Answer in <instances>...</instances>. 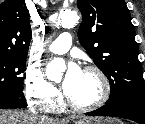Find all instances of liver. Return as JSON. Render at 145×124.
I'll list each match as a JSON object with an SVG mask.
<instances>
[{
    "label": "liver",
    "instance_id": "1",
    "mask_svg": "<svg viewBox=\"0 0 145 124\" xmlns=\"http://www.w3.org/2000/svg\"><path fill=\"white\" fill-rule=\"evenodd\" d=\"M69 120H52L33 117L28 113L0 110V124H67Z\"/></svg>",
    "mask_w": 145,
    "mask_h": 124
}]
</instances>
